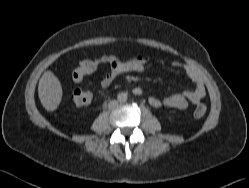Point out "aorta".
Here are the masks:
<instances>
[{"mask_svg":"<svg viewBox=\"0 0 249 188\" xmlns=\"http://www.w3.org/2000/svg\"><path fill=\"white\" fill-rule=\"evenodd\" d=\"M127 99H128V95H127L126 92H120V93H118V95H117L118 102L124 103V102L127 101Z\"/></svg>","mask_w":249,"mask_h":188,"instance_id":"obj_1","label":"aorta"}]
</instances>
